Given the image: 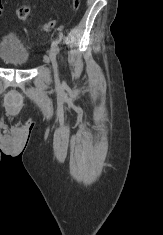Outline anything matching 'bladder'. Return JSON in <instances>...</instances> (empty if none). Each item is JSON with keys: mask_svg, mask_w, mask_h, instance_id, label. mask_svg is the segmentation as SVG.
Wrapping results in <instances>:
<instances>
[{"mask_svg": "<svg viewBox=\"0 0 163 235\" xmlns=\"http://www.w3.org/2000/svg\"><path fill=\"white\" fill-rule=\"evenodd\" d=\"M0 58L10 66L21 68L28 64L30 54L21 38L9 32L0 39Z\"/></svg>", "mask_w": 163, "mask_h": 235, "instance_id": "31cf9c89", "label": "bladder"}]
</instances>
